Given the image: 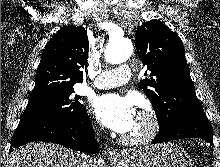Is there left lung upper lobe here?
Listing matches in <instances>:
<instances>
[{"mask_svg": "<svg viewBox=\"0 0 220 167\" xmlns=\"http://www.w3.org/2000/svg\"><path fill=\"white\" fill-rule=\"evenodd\" d=\"M135 45L138 57L151 72V78L140 81L138 86L152 102L159 128L204 112L192 84L182 41L175 32L159 20H151L137 29Z\"/></svg>", "mask_w": 220, "mask_h": 167, "instance_id": "left-lung-upper-lobe-1", "label": "left lung upper lobe"}]
</instances>
